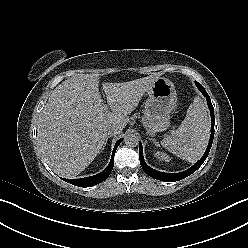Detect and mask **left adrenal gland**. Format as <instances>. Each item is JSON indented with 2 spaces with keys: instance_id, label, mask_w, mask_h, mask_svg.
Returning a JSON list of instances; mask_svg holds the SVG:
<instances>
[{
  "instance_id": "left-adrenal-gland-1",
  "label": "left adrenal gland",
  "mask_w": 248,
  "mask_h": 248,
  "mask_svg": "<svg viewBox=\"0 0 248 248\" xmlns=\"http://www.w3.org/2000/svg\"><path fill=\"white\" fill-rule=\"evenodd\" d=\"M150 140L153 141L154 143H156V140L155 139L150 138Z\"/></svg>"
}]
</instances>
